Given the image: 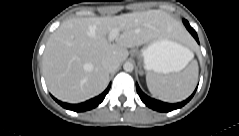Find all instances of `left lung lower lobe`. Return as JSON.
Returning <instances> with one entry per match:
<instances>
[{"label":"left lung lower lobe","instance_id":"1","mask_svg":"<svg viewBox=\"0 0 239 136\" xmlns=\"http://www.w3.org/2000/svg\"><path fill=\"white\" fill-rule=\"evenodd\" d=\"M184 25L186 26V28L188 29V31L192 34V36L196 39V41L199 43L198 40V36L197 33L195 32V30L189 25L187 20H183ZM136 89H137V93L139 94L141 100L150 108L159 111V112H170L172 110L181 108L182 106H184L187 102H189L191 100V98L194 96L196 90L193 92V94L187 98L185 101L183 102H179L176 104H169V103H165V102H161L159 100H155L153 98H150L149 96H147L146 94H144L141 89L139 88L138 84H136Z\"/></svg>","mask_w":239,"mask_h":136}]
</instances>
